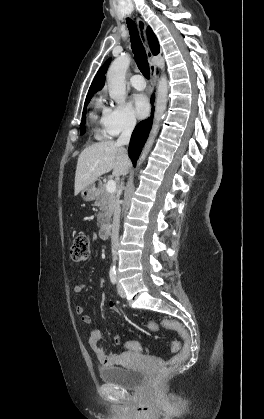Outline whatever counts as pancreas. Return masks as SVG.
Segmentation results:
<instances>
[{"mask_svg": "<svg viewBox=\"0 0 264 419\" xmlns=\"http://www.w3.org/2000/svg\"><path fill=\"white\" fill-rule=\"evenodd\" d=\"M118 199V194L116 192L109 193L106 190V185L100 183V187L98 189V197L96 206L99 207L100 213L97 215L99 225L102 227L105 224L109 223L115 204Z\"/></svg>", "mask_w": 264, "mask_h": 419, "instance_id": "cf45deb5", "label": "pancreas"}]
</instances>
